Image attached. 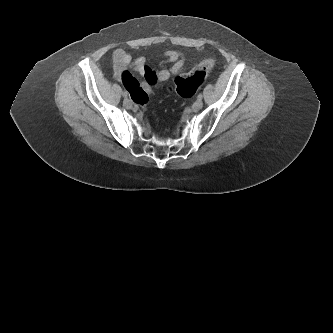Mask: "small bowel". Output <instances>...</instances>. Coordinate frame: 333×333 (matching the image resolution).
Masks as SVG:
<instances>
[{
	"mask_svg": "<svg viewBox=\"0 0 333 333\" xmlns=\"http://www.w3.org/2000/svg\"><path fill=\"white\" fill-rule=\"evenodd\" d=\"M163 63H171L170 67L153 69L146 57H138L132 60L131 56L122 49L113 53L115 78L123 82L131 92V98L136 104L144 105L153 87L159 82H165L172 76L180 74L185 68V58L179 50H168L163 55ZM129 69L137 72L142 80L138 82L129 72Z\"/></svg>",
	"mask_w": 333,
	"mask_h": 333,
	"instance_id": "small-bowel-1",
	"label": "small bowel"
}]
</instances>
